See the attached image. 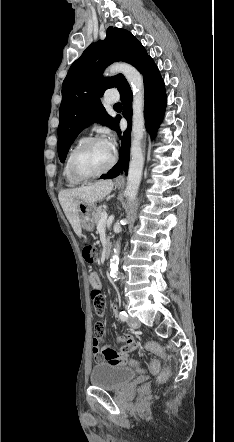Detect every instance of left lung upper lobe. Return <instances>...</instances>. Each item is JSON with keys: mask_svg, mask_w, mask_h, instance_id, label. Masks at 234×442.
I'll use <instances>...</instances> for the list:
<instances>
[{"mask_svg": "<svg viewBox=\"0 0 234 442\" xmlns=\"http://www.w3.org/2000/svg\"><path fill=\"white\" fill-rule=\"evenodd\" d=\"M146 50L128 31L109 27L104 41L91 44L70 67L62 85L58 126V155L61 162L80 131L100 121L118 131V117L112 118L100 102L104 91L127 85L122 74L104 78L103 70L115 61H125L139 71L146 59Z\"/></svg>", "mask_w": 234, "mask_h": 442, "instance_id": "left-lung-upper-lobe-1", "label": "left lung upper lobe"}]
</instances>
